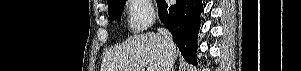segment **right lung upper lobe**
Listing matches in <instances>:
<instances>
[{"label": "right lung upper lobe", "instance_id": "1", "mask_svg": "<svg viewBox=\"0 0 301 71\" xmlns=\"http://www.w3.org/2000/svg\"><path fill=\"white\" fill-rule=\"evenodd\" d=\"M110 1H112V0H107V2H110Z\"/></svg>", "mask_w": 301, "mask_h": 71}]
</instances>
